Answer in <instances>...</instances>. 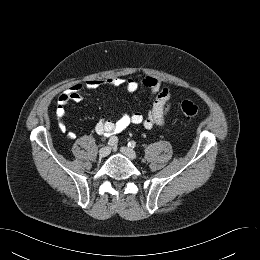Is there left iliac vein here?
<instances>
[{"label":"left iliac vein","mask_w":260,"mask_h":260,"mask_svg":"<svg viewBox=\"0 0 260 260\" xmlns=\"http://www.w3.org/2000/svg\"><path fill=\"white\" fill-rule=\"evenodd\" d=\"M120 150L123 155H125L127 158H129L131 160H135L137 158L135 151L132 150L131 148L123 146V147H121Z\"/></svg>","instance_id":"left-iliac-vein-1"}]
</instances>
